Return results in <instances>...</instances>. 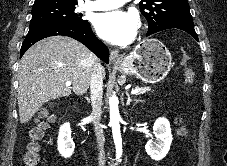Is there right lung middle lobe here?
<instances>
[{
    "instance_id": "right-lung-middle-lobe-1",
    "label": "right lung middle lobe",
    "mask_w": 227,
    "mask_h": 166,
    "mask_svg": "<svg viewBox=\"0 0 227 166\" xmlns=\"http://www.w3.org/2000/svg\"><path fill=\"white\" fill-rule=\"evenodd\" d=\"M77 3L48 2L33 5L30 30L50 24H70L83 26L89 24L82 14L75 13Z\"/></svg>"
}]
</instances>
